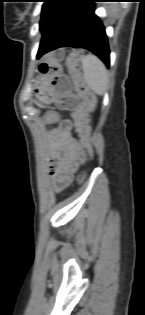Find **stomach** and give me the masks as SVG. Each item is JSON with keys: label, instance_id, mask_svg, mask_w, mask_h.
<instances>
[{"label": "stomach", "instance_id": "obj_1", "mask_svg": "<svg viewBox=\"0 0 145 315\" xmlns=\"http://www.w3.org/2000/svg\"><path fill=\"white\" fill-rule=\"evenodd\" d=\"M48 91H50V87L33 84V98H37L45 104L52 102V95ZM41 116H54V109H41Z\"/></svg>", "mask_w": 145, "mask_h": 315}]
</instances>
